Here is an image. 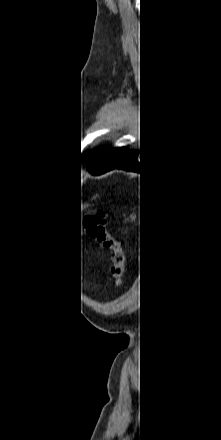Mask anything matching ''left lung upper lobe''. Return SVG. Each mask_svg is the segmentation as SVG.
Listing matches in <instances>:
<instances>
[{
    "mask_svg": "<svg viewBox=\"0 0 221 440\" xmlns=\"http://www.w3.org/2000/svg\"><path fill=\"white\" fill-rule=\"evenodd\" d=\"M129 151L127 147H120L110 150H102L94 153L90 156L91 169L97 174L100 169L107 168L117 162H119Z\"/></svg>",
    "mask_w": 221,
    "mask_h": 440,
    "instance_id": "1",
    "label": "left lung upper lobe"
}]
</instances>
